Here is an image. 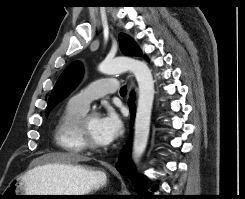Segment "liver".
<instances>
[{"label":"liver","mask_w":245,"mask_h":199,"mask_svg":"<svg viewBox=\"0 0 245 199\" xmlns=\"http://www.w3.org/2000/svg\"><path fill=\"white\" fill-rule=\"evenodd\" d=\"M89 158L85 156H81L73 153H52L44 155L38 161V166H46V165H65V164H73L82 161H88ZM35 167V168H37ZM34 168V169H35ZM58 172H56V175Z\"/></svg>","instance_id":"1"}]
</instances>
